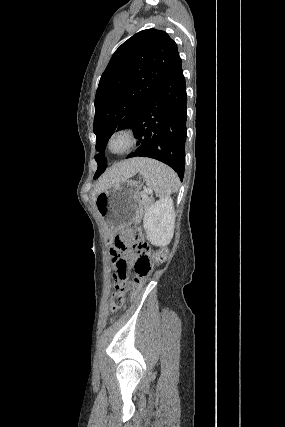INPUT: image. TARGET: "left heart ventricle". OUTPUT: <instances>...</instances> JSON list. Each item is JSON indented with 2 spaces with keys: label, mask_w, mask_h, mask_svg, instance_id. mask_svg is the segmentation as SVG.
Masks as SVG:
<instances>
[{
  "label": "left heart ventricle",
  "mask_w": 285,
  "mask_h": 427,
  "mask_svg": "<svg viewBox=\"0 0 285 427\" xmlns=\"http://www.w3.org/2000/svg\"><path fill=\"white\" fill-rule=\"evenodd\" d=\"M126 140L123 137L116 138L113 142V149L115 150H121L125 147Z\"/></svg>",
  "instance_id": "left-heart-ventricle-1"
}]
</instances>
